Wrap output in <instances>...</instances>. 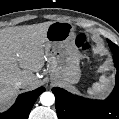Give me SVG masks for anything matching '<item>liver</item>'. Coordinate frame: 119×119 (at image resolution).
<instances>
[{"label":"liver","instance_id":"1","mask_svg":"<svg viewBox=\"0 0 119 119\" xmlns=\"http://www.w3.org/2000/svg\"><path fill=\"white\" fill-rule=\"evenodd\" d=\"M51 23L0 32V109L17 94L19 87L14 86L17 80L28 79L24 88L37 86L38 79L33 72L44 65L46 32Z\"/></svg>","mask_w":119,"mask_h":119}]
</instances>
